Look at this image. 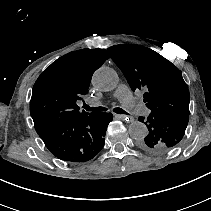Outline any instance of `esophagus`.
Segmentation results:
<instances>
[{
  "mask_svg": "<svg viewBox=\"0 0 211 211\" xmlns=\"http://www.w3.org/2000/svg\"><path fill=\"white\" fill-rule=\"evenodd\" d=\"M115 117H116V118H119V119H122V120L125 119V121H126L127 123H130V122L133 120L132 117L126 116V115L115 114Z\"/></svg>",
  "mask_w": 211,
  "mask_h": 211,
  "instance_id": "esophagus-1",
  "label": "esophagus"
}]
</instances>
